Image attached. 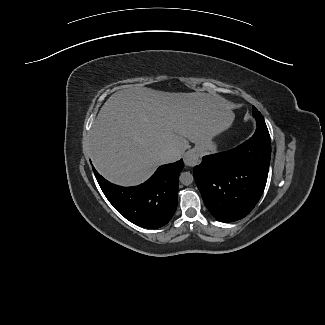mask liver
<instances>
[{
	"mask_svg": "<svg viewBox=\"0 0 325 325\" xmlns=\"http://www.w3.org/2000/svg\"><path fill=\"white\" fill-rule=\"evenodd\" d=\"M233 120L230 104L208 93H171L130 86L112 94L89 134L88 150L96 170L122 186L146 181L164 149L178 160L189 141L204 145Z\"/></svg>",
	"mask_w": 325,
	"mask_h": 325,
	"instance_id": "6515ba94",
	"label": "liver"
}]
</instances>
